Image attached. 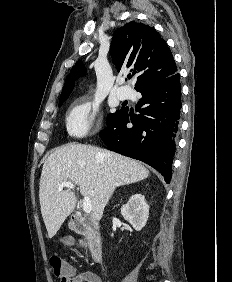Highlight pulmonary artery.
I'll use <instances>...</instances> for the list:
<instances>
[{
	"instance_id": "1",
	"label": "pulmonary artery",
	"mask_w": 232,
	"mask_h": 282,
	"mask_svg": "<svg viewBox=\"0 0 232 282\" xmlns=\"http://www.w3.org/2000/svg\"><path fill=\"white\" fill-rule=\"evenodd\" d=\"M117 97L120 100L128 99L132 97V92L126 87H121L117 90Z\"/></svg>"
}]
</instances>
